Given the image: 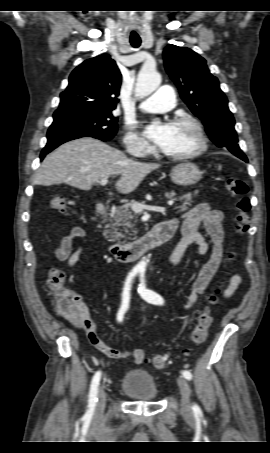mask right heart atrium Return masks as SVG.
Wrapping results in <instances>:
<instances>
[{
    "mask_svg": "<svg viewBox=\"0 0 270 453\" xmlns=\"http://www.w3.org/2000/svg\"><path fill=\"white\" fill-rule=\"evenodd\" d=\"M124 145L126 150L136 156H143L151 152L152 147L142 138L132 126L127 128L124 136Z\"/></svg>",
    "mask_w": 270,
    "mask_h": 453,
    "instance_id": "obj_1",
    "label": "right heart atrium"
}]
</instances>
